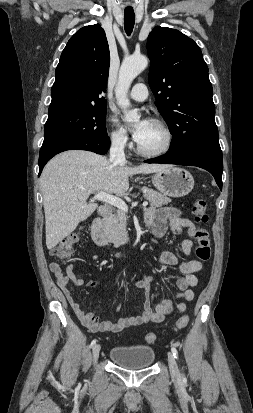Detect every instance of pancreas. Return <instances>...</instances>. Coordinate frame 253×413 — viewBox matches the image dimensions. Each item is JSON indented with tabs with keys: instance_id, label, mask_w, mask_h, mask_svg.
<instances>
[{
	"instance_id": "obj_1",
	"label": "pancreas",
	"mask_w": 253,
	"mask_h": 413,
	"mask_svg": "<svg viewBox=\"0 0 253 413\" xmlns=\"http://www.w3.org/2000/svg\"><path fill=\"white\" fill-rule=\"evenodd\" d=\"M144 197L149 200L151 206L154 208L162 207L171 202L165 194L159 193L153 189L144 187L142 188ZM127 215L122 210H117L110 218L104 222V230L107 235L108 241L113 243L115 247L124 245L128 239Z\"/></svg>"
}]
</instances>
